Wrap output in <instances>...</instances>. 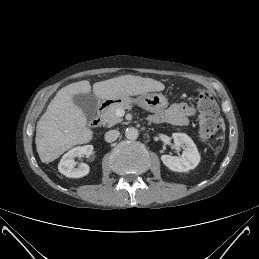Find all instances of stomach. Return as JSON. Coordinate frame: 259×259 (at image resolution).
Segmentation results:
<instances>
[{
	"mask_svg": "<svg viewBox=\"0 0 259 259\" xmlns=\"http://www.w3.org/2000/svg\"><path fill=\"white\" fill-rule=\"evenodd\" d=\"M105 102L110 106L137 103L139 106L150 112L162 111L168 105V99L160 93H143L137 98H132L130 96L117 97L107 99Z\"/></svg>",
	"mask_w": 259,
	"mask_h": 259,
	"instance_id": "obj_1",
	"label": "stomach"
}]
</instances>
